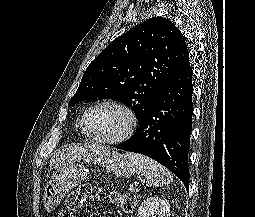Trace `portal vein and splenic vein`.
I'll return each mask as SVG.
<instances>
[{"instance_id":"18ae733b","label":"portal vein and splenic vein","mask_w":255,"mask_h":217,"mask_svg":"<svg viewBox=\"0 0 255 217\" xmlns=\"http://www.w3.org/2000/svg\"><path fill=\"white\" fill-rule=\"evenodd\" d=\"M129 191L135 192L138 191L133 185L130 186Z\"/></svg>"}]
</instances>
